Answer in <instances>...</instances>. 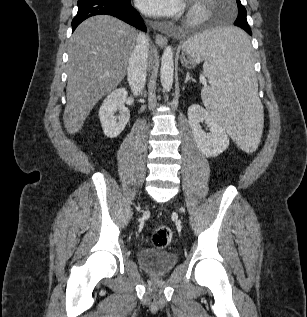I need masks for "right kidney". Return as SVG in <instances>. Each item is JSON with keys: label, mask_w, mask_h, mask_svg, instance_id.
I'll return each mask as SVG.
<instances>
[{"label": "right kidney", "mask_w": 307, "mask_h": 317, "mask_svg": "<svg viewBox=\"0 0 307 317\" xmlns=\"http://www.w3.org/2000/svg\"><path fill=\"white\" fill-rule=\"evenodd\" d=\"M127 95L126 89H116L107 95L99 109L102 129L108 138L120 135L130 119V111L124 105ZM117 111L119 114L115 115Z\"/></svg>", "instance_id": "1"}]
</instances>
